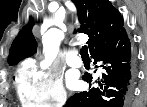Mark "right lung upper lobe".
Listing matches in <instances>:
<instances>
[{
  "instance_id": "1",
  "label": "right lung upper lobe",
  "mask_w": 147,
  "mask_h": 107,
  "mask_svg": "<svg viewBox=\"0 0 147 107\" xmlns=\"http://www.w3.org/2000/svg\"><path fill=\"white\" fill-rule=\"evenodd\" d=\"M81 23L79 32L89 36L90 53L113 38L123 28V18L109 0H72ZM32 20L25 25L14 39L9 52L8 63L16 65L24 58L30 57L37 49L32 34ZM76 33V30L74 31Z\"/></svg>"
}]
</instances>
